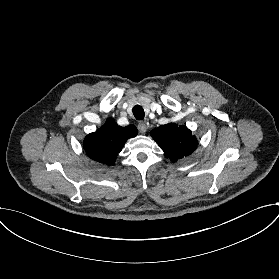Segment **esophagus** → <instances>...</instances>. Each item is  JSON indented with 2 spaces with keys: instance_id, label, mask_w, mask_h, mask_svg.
I'll list each match as a JSON object with an SVG mask.
<instances>
[{
  "instance_id": "obj_1",
  "label": "esophagus",
  "mask_w": 279,
  "mask_h": 279,
  "mask_svg": "<svg viewBox=\"0 0 279 279\" xmlns=\"http://www.w3.org/2000/svg\"><path fill=\"white\" fill-rule=\"evenodd\" d=\"M137 128L141 134H145L148 129V126L145 122H139Z\"/></svg>"
}]
</instances>
